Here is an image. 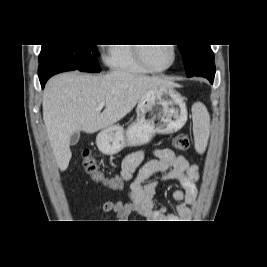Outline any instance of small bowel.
<instances>
[{"instance_id": "obj_1", "label": "small bowel", "mask_w": 267, "mask_h": 267, "mask_svg": "<svg viewBox=\"0 0 267 267\" xmlns=\"http://www.w3.org/2000/svg\"><path fill=\"white\" fill-rule=\"evenodd\" d=\"M151 154L155 159L143 165L146 155L143 150L124 158L118 177H123L128 185V201H105L99 206L101 211L114 213L119 222H126L132 213L154 222H177L193 216L197 198L196 183L199 179L198 166L190 165L185 157L169 148L154 149ZM154 175H159V178L152 180ZM173 180L179 183L180 188L172 193L176 205L175 211L169 212L166 207L156 204L155 194L159 183Z\"/></svg>"}]
</instances>
